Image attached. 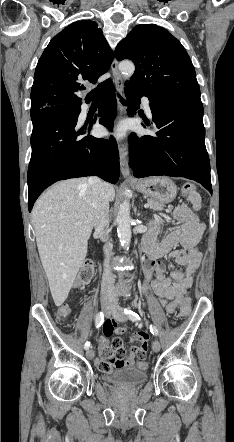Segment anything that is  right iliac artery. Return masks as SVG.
Here are the masks:
<instances>
[{
	"label": "right iliac artery",
	"mask_w": 234,
	"mask_h": 442,
	"mask_svg": "<svg viewBox=\"0 0 234 442\" xmlns=\"http://www.w3.org/2000/svg\"><path fill=\"white\" fill-rule=\"evenodd\" d=\"M103 322H104V315H103L102 312H100V313H98L96 315V318H95V325H96V327L97 328L100 327ZM89 346H90V342L87 341L85 343L84 348L87 350V349H89Z\"/></svg>",
	"instance_id": "1"
}]
</instances>
